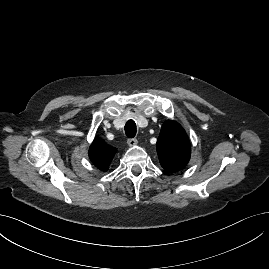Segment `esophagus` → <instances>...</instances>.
Wrapping results in <instances>:
<instances>
[{"label": "esophagus", "instance_id": "obj_1", "mask_svg": "<svg viewBox=\"0 0 269 269\" xmlns=\"http://www.w3.org/2000/svg\"><path fill=\"white\" fill-rule=\"evenodd\" d=\"M137 143H138V141L135 138H130L127 140V144L131 147L137 145Z\"/></svg>", "mask_w": 269, "mask_h": 269}]
</instances>
